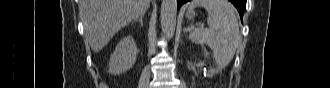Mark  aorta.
<instances>
[{
	"instance_id": "1",
	"label": "aorta",
	"mask_w": 330,
	"mask_h": 88,
	"mask_svg": "<svg viewBox=\"0 0 330 88\" xmlns=\"http://www.w3.org/2000/svg\"><path fill=\"white\" fill-rule=\"evenodd\" d=\"M177 0H162L161 28L165 37L171 38L176 28Z\"/></svg>"
}]
</instances>
